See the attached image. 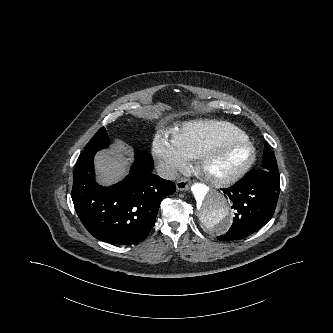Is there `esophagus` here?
Masks as SVG:
<instances>
[{"mask_svg": "<svg viewBox=\"0 0 333 333\" xmlns=\"http://www.w3.org/2000/svg\"><path fill=\"white\" fill-rule=\"evenodd\" d=\"M176 188L179 191H186V190H188V184H187V182L185 180H179L176 183Z\"/></svg>", "mask_w": 333, "mask_h": 333, "instance_id": "34e87169", "label": "esophagus"}]
</instances>
